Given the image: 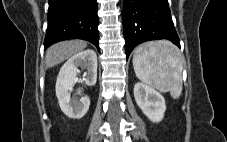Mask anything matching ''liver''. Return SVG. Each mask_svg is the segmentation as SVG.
<instances>
[{"label": "liver", "mask_w": 227, "mask_h": 142, "mask_svg": "<svg viewBox=\"0 0 227 142\" xmlns=\"http://www.w3.org/2000/svg\"><path fill=\"white\" fill-rule=\"evenodd\" d=\"M86 47L87 42L83 40H70L56 43L50 46L46 51V66L49 68L54 67L83 51Z\"/></svg>", "instance_id": "6515ba94"}]
</instances>
